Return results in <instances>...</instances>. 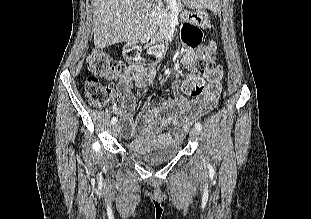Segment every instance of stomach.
Wrapping results in <instances>:
<instances>
[{
    "label": "stomach",
    "instance_id": "obj_1",
    "mask_svg": "<svg viewBox=\"0 0 311 219\" xmlns=\"http://www.w3.org/2000/svg\"><path fill=\"white\" fill-rule=\"evenodd\" d=\"M184 3L188 7L193 8L192 11L183 13L182 18L184 20L194 23L200 27H206L209 25L210 21L208 13L203 8L192 7L195 4L194 0H184Z\"/></svg>",
    "mask_w": 311,
    "mask_h": 219
}]
</instances>
